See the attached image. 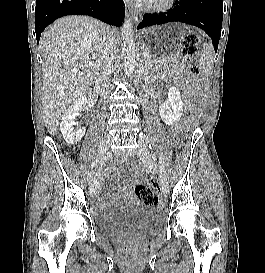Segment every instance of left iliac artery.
Segmentation results:
<instances>
[{"label":"left iliac artery","instance_id":"left-iliac-artery-1","mask_svg":"<svg viewBox=\"0 0 265 273\" xmlns=\"http://www.w3.org/2000/svg\"><path fill=\"white\" fill-rule=\"evenodd\" d=\"M139 137H140V139L143 142L148 143L149 144V148L152 149L151 140H150V138L147 135H145L143 133H140ZM153 157H154V154H153ZM159 169H160L161 172L165 171V165H164V162L161 159H159Z\"/></svg>","mask_w":265,"mask_h":273}]
</instances>
